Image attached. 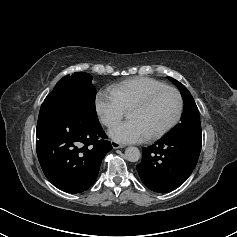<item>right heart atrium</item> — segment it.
Returning <instances> with one entry per match:
<instances>
[{
	"label": "right heart atrium",
	"instance_id": "right-heart-atrium-1",
	"mask_svg": "<svg viewBox=\"0 0 237 237\" xmlns=\"http://www.w3.org/2000/svg\"><path fill=\"white\" fill-rule=\"evenodd\" d=\"M95 108L102 124L106 127L115 125L125 113L118 95L111 88L101 90L97 94Z\"/></svg>",
	"mask_w": 237,
	"mask_h": 237
}]
</instances>
